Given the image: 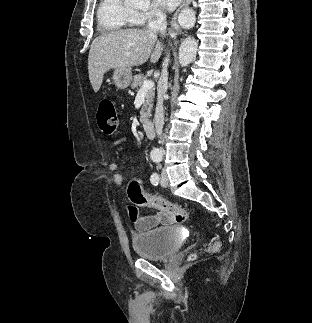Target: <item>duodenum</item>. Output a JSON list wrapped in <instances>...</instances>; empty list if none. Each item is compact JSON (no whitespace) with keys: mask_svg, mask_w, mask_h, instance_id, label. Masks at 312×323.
I'll use <instances>...</instances> for the list:
<instances>
[{"mask_svg":"<svg viewBox=\"0 0 312 323\" xmlns=\"http://www.w3.org/2000/svg\"><path fill=\"white\" fill-rule=\"evenodd\" d=\"M140 124L144 134L149 138H154V129L151 120L147 117H142Z\"/></svg>","mask_w":312,"mask_h":323,"instance_id":"duodenum-1","label":"duodenum"}]
</instances>
